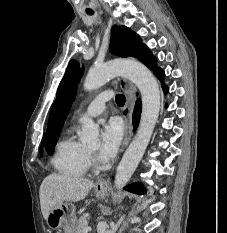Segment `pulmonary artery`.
<instances>
[{
  "label": "pulmonary artery",
  "instance_id": "obj_1",
  "mask_svg": "<svg viewBox=\"0 0 227 233\" xmlns=\"http://www.w3.org/2000/svg\"><path fill=\"white\" fill-rule=\"evenodd\" d=\"M112 98L110 91H104L98 94L88 105L85 115L88 117H97L106 109V102Z\"/></svg>",
  "mask_w": 227,
  "mask_h": 233
}]
</instances>
